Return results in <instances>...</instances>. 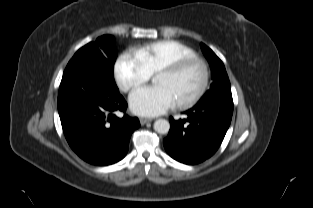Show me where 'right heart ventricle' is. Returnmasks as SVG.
Masks as SVG:
<instances>
[{"label": "right heart ventricle", "instance_id": "e07e8e85", "mask_svg": "<svg viewBox=\"0 0 313 208\" xmlns=\"http://www.w3.org/2000/svg\"><path fill=\"white\" fill-rule=\"evenodd\" d=\"M150 74L178 59L196 56L193 49L176 40H160L143 45L135 50Z\"/></svg>", "mask_w": 313, "mask_h": 208}]
</instances>
